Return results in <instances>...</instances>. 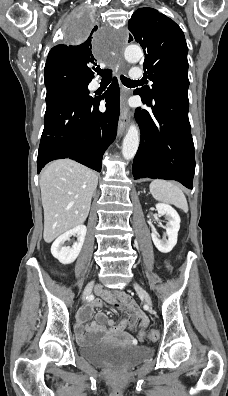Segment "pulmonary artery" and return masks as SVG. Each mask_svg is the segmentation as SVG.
I'll list each match as a JSON object with an SVG mask.
<instances>
[{
    "label": "pulmonary artery",
    "instance_id": "pulmonary-artery-1",
    "mask_svg": "<svg viewBox=\"0 0 228 396\" xmlns=\"http://www.w3.org/2000/svg\"><path fill=\"white\" fill-rule=\"evenodd\" d=\"M130 75L133 79L138 80L143 77V71L139 67H135L131 70Z\"/></svg>",
    "mask_w": 228,
    "mask_h": 396
}]
</instances>
